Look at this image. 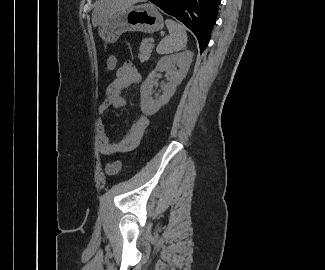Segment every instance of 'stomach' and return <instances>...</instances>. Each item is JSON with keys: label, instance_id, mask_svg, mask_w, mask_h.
Here are the masks:
<instances>
[{"label": "stomach", "instance_id": "0dacf381", "mask_svg": "<svg viewBox=\"0 0 325 270\" xmlns=\"http://www.w3.org/2000/svg\"><path fill=\"white\" fill-rule=\"evenodd\" d=\"M162 15L151 4L120 9L104 18L99 24V36L105 43H114L127 31L153 33L163 29Z\"/></svg>", "mask_w": 325, "mask_h": 270}]
</instances>
